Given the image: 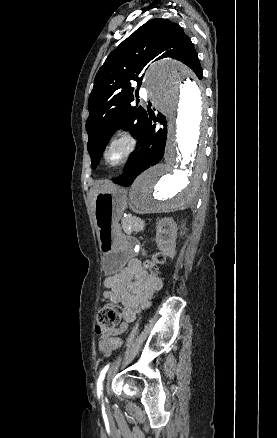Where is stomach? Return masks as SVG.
I'll use <instances>...</instances> for the list:
<instances>
[{
	"mask_svg": "<svg viewBox=\"0 0 277 438\" xmlns=\"http://www.w3.org/2000/svg\"><path fill=\"white\" fill-rule=\"evenodd\" d=\"M127 207V193L119 187L100 192L95 197V224L103 253V269L108 275L119 272L131 256L132 240L118 227Z\"/></svg>",
	"mask_w": 277,
	"mask_h": 438,
	"instance_id": "0dacf381",
	"label": "stomach"
}]
</instances>
